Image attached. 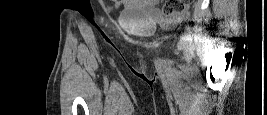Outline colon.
<instances>
[{
  "label": "colon",
  "instance_id": "1",
  "mask_svg": "<svg viewBox=\"0 0 267 115\" xmlns=\"http://www.w3.org/2000/svg\"><path fill=\"white\" fill-rule=\"evenodd\" d=\"M190 2L191 0H166L162 9L163 14L165 16H171L178 13L189 5Z\"/></svg>",
  "mask_w": 267,
  "mask_h": 115
}]
</instances>
